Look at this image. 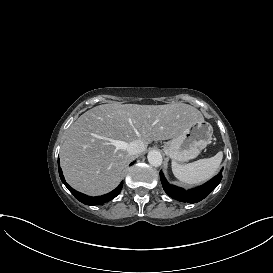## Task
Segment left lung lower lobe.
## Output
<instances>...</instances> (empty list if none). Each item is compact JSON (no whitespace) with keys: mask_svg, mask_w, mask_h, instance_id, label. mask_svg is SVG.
Listing matches in <instances>:
<instances>
[{"mask_svg":"<svg viewBox=\"0 0 273 273\" xmlns=\"http://www.w3.org/2000/svg\"><path fill=\"white\" fill-rule=\"evenodd\" d=\"M160 179L163 185L164 191L173 199L180 202L196 203L204 199L216 186L220 183L222 179V173L220 172L217 176L213 177L210 181L204 185L197 187L195 189L185 191L182 188L170 185L162 172H160Z\"/></svg>","mask_w":273,"mask_h":273,"instance_id":"obj_1","label":"left lung lower lobe"}]
</instances>
